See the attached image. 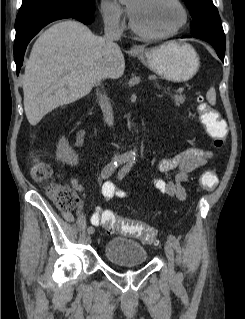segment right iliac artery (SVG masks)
I'll return each instance as SVG.
<instances>
[{"mask_svg":"<svg viewBox=\"0 0 245 319\" xmlns=\"http://www.w3.org/2000/svg\"><path fill=\"white\" fill-rule=\"evenodd\" d=\"M128 160H129V157H127V156H122V157H120L119 159H117V160H115V161H113V162L107 164V165L103 168V170H102V172H101V177H102L103 179H107L109 176H111V175L113 174V172L116 170V168H117L119 165L126 163ZM108 187H109V186H108V182H105V183L103 184V186H102V192H103L104 195H105V193H106V190H108ZM87 232H88L89 234H92V233L94 232V228H93L92 226L88 227Z\"/></svg>","mask_w":245,"mask_h":319,"instance_id":"82829eb1","label":"right iliac artery"}]
</instances>
